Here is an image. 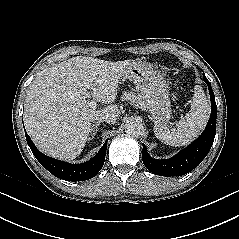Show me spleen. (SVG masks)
<instances>
[{
	"instance_id": "1",
	"label": "spleen",
	"mask_w": 239,
	"mask_h": 239,
	"mask_svg": "<svg viewBox=\"0 0 239 239\" xmlns=\"http://www.w3.org/2000/svg\"><path fill=\"white\" fill-rule=\"evenodd\" d=\"M210 105L201 87L196 86L191 110L171 130L155 126V136L164 144L180 147L187 145L205 128Z\"/></svg>"
}]
</instances>
